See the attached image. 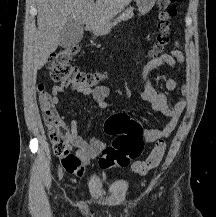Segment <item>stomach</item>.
Returning <instances> with one entry per match:
<instances>
[{
  "instance_id": "0dacf381",
  "label": "stomach",
  "mask_w": 216,
  "mask_h": 217,
  "mask_svg": "<svg viewBox=\"0 0 216 217\" xmlns=\"http://www.w3.org/2000/svg\"><path fill=\"white\" fill-rule=\"evenodd\" d=\"M135 1L139 9V12L142 15L147 14L156 3V0H135ZM111 27L112 26L108 25L107 23L100 26H95L93 27V32L95 34H101V35L107 34L110 31Z\"/></svg>"
}]
</instances>
